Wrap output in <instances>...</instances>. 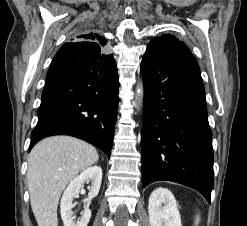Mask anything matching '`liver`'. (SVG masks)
I'll use <instances>...</instances> for the list:
<instances>
[{"label": "liver", "instance_id": "obj_1", "mask_svg": "<svg viewBox=\"0 0 247 226\" xmlns=\"http://www.w3.org/2000/svg\"><path fill=\"white\" fill-rule=\"evenodd\" d=\"M98 159L92 145L74 137H48L34 146L28 157L27 183L38 226H58L57 209L63 190Z\"/></svg>", "mask_w": 247, "mask_h": 226}]
</instances>
